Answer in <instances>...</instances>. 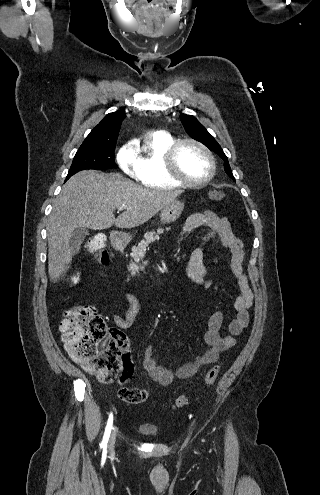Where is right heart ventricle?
Segmentation results:
<instances>
[{"label":"right heart ventricle","instance_id":"obj_1","mask_svg":"<svg viewBox=\"0 0 320 495\" xmlns=\"http://www.w3.org/2000/svg\"><path fill=\"white\" fill-rule=\"evenodd\" d=\"M175 139L162 132L149 133L138 154V180L142 185L156 189L182 187L183 184L168 175L164 155Z\"/></svg>","mask_w":320,"mask_h":495}]
</instances>
